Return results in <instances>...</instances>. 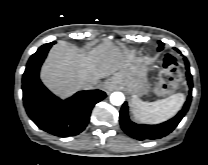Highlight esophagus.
Segmentation results:
<instances>
[{"label": "esophagus", "mask_w": 208, "mask_h": 165, "mask_svg": "<svg viewBox=\"0 0 208 165\" xmlns=\"http://www.w3.org/2000/svg\"><path fill=\"white\" fill-rule=\"evenodd\" d=\"M104 89L107 93H110L116 89V84L112 80H108L104 84Z\"/></svg>", "instance_id": "1"}]
</instances>
